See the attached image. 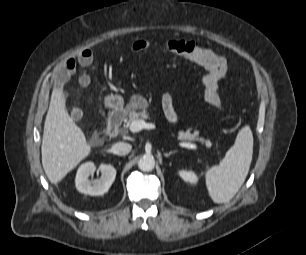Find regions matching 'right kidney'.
<instances>
[{
    "mask_svg": "<svg viewBox=\"0 0 306 255\" xmlns=\"http://www.w3.org/2000/svg\"><path fill=\"white\" fill-rule=\"evenodd\" d=\"M96 170L94 163L86 162L82 164L76 174V188L79 192L98 196L105 194L116 177V169L112 165H101L98 170L101 172L99 179L90 180L89 177Z\"/></svg>",
    "mask_w": 306,
    "mask_h": 255,
    "instance_id": "right-kidney-1",
    "label": "right kidney"
}]
</instances>
